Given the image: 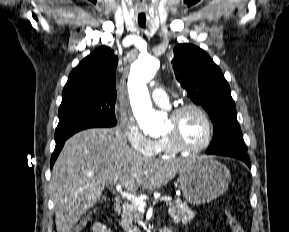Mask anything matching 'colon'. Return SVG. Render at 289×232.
Returning <instances> with one entry per match:
<instances>
[{
    "mask_svg": "<svg viewBox=\"0 0 289 232\" xmlns=\"http://www.w3.org/2000/svg\"><path fill=\"white\" fill-rule=\"evenodd\" d=\"M227 219L232 229V232H244L240 222L230 211H227ZM83 227H84V222L81 221L72 228L71 232H81Z\"/></svg>",
    "mask_w": 289,
    "mask_h": 232,
    "instance_id": "obj_1",
    "label": "colon"
}]
</instances>
